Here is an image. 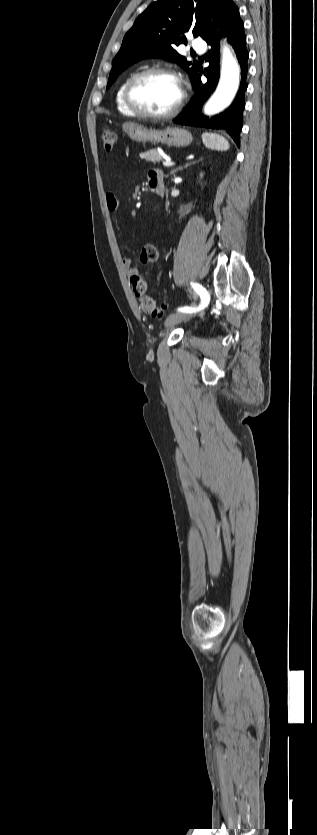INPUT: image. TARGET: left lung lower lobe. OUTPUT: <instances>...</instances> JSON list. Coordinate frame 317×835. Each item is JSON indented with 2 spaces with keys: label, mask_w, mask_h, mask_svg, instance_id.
<instances>
[{
  "label": "left lung lower lobe",
  "mask_w": 317,
  "mask_h": 835,
  "mask_svg": "<svg viewBox=\"0 0 317 835\" xmlns=\"http://www.w3.org/2000/svg\"><path fill=\"white\" fill-rule=\"evenodd\" d=\"M224 14L227 16L225 24L220 27L218 33L206 42L211 46L208 52L206 61L210 64L204 70L199 65L196 73L191 78L192 86L194 88V96L187 105L186 109L173 120L174 123L205 127L212 129H224L233 138L238 146H240V132L242 129L243 119L242 112L245 107L244 92L247 89L245 82L247 76V59L248 51L246 49V36L244 34V24L240 18L239 10L234 4L233 0H229ZM220 34L226 35L228 42L233 45L237 54V59L241 66V84L235 100L231 106L223 113L214 117L201 116V107L209 95L214 91L219 78V37ZM207 77L208 81L205 84L201 82V75Z\"/></svg>",
  "instance_id": "obj_1"
}]
</instances>
